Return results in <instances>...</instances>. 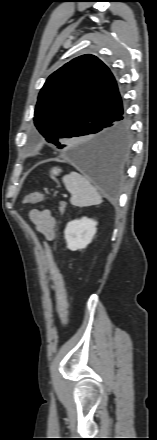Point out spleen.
<instances>
[{
    "mask_svg": "<svg viewBox=\"0 0 157 440\" xmlns=\"http://www.w3.org/2000/svg\"><path fill=\"white\" fill-rule=\"evenodd\" d=\"M63 183L71 194L70 203L76 207L99 205L102 198L98 191L82 175L71 172L63 177Z\"/></svg>",
    "mask_w": 157,
    "mask_h": 440,
    "instance_id": "spleen-1",
    "label": "spleen"
}]
</instances>
